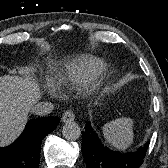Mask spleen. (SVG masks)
I'll use <instances>...</instances> for the list:
<instances>
[{
	"instance_id": "3e777b00",
	"label": "spleen",
	"mask_w": 168,
	"mask_h": 168,
	"mask_svg": "<svg viewBox=\"0 0 168 168\" xmlns=\"http://www.w3.org/2000/svg\"><path fill=\"white\" fill-rule=\"evenodd\" d=\"M106 142L118 150H126L133 143V120L120 118L106 123L103 128Z\"/></svg>"
}]
</instances>
